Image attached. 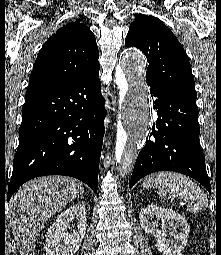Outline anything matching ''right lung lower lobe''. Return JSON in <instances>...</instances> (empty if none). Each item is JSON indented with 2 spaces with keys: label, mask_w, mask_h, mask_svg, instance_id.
I'll return each mask as SVG.
<instances>
[{
  "label": "right lung lower lobe",
  "mask_w": 221,
  "mask_h": 255,
  "mask_svg": "<svg viewBox=\"0 0 221 255\" xmlns=\"http://www.w3.org/2000/svg\"><path fill=\"white\" fill-rule=\"evenodd\" d=\"M99 69L26 93L8 201L23 183L45 175L72 176L97 193L106 116Z\"/></svg>",
  "instance_id": "right-lung-lower-lobe-1"
}]
</instances>
